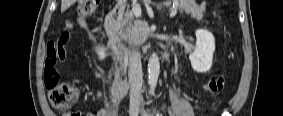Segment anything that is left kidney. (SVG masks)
Segmentation results:
<instances>
[{
    "instance_id": "obj_1",
    "label": "left kidney",
    "mask_w": 283,
    "mask_h": 116,
    "mask_svg": "<svg viewBox=\"0 0 283 116\" xmlns=\"http://www.w3.org/2000/svg\"><path fill=\"white\" fill-rule=\"evenodd\" d=\"M196 46L189 54L192 68L198 73H205L210 70L215 51V38L211 32L205 29H198L195 32Z\"/></svg>"
}]
</instances>
